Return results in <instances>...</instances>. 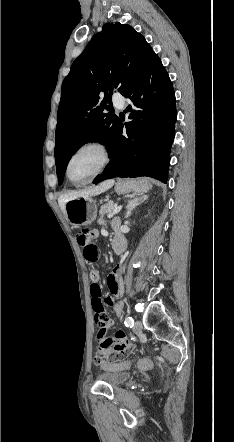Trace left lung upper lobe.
I'll return each instance as SVG.
<instances>
[{"mask_svg": "<svg viewBox=\"0 0 234 442\" xmlns=\"http://www.w3.org/2000/svg\"><path fill=\"white\" fill-rule=\"evenodd\" d=\"M154 52L127 24H105L73 62L58 107L55 164L59 185L72 155L85 143L112 148L119 118L109 110L113 89L123 91L138 77ZM105 94L100 101L99 95Z\"/></svg>", "mask_w": 234, "mask_h": 442, "instance_id": "left-lung-upper-lobe-1", "label": "left lung upper lobe"}]
</instances>
